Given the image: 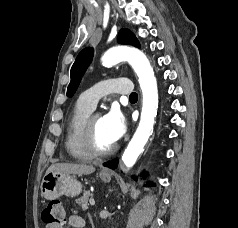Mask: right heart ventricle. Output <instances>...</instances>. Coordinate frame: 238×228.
Wrapping results in <instances>:
<instances>
[{"label":"right heart ventricle","instance_id":"1","mask_svg":"<svg viewBox=\"0 0 238 228\" xmlns=\"http://www.w3.org/2000/svg\"><path fill=\"white\" fill-rule=\"evenodd\" d=\"M92 110L78 99L67 120L65 148L72 158L79 161L92 159L83 144L84 124Z\"/></svg>","mask_w":238,"mask_h":228}]
</instances>
